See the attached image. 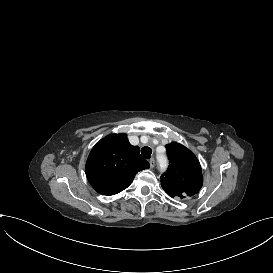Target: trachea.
I'll use <instances>...</instances> for the list:
<instances>
[{"instance_id":"obj_1","label":"trachea","mask_w":273,"mask_h":273,"mask_svg":"<svg viewBox=\"0 0 273 273\" xmlns=\"http://www.w3.org/2000/svg\"><path fill=\"white\" fill-rule=\"evenodd\" d=\"M151 154H152V149L150 147L145 146L141 149V155L143 158L149 159L151 157Z\"/></svg>"}]
</instances>
